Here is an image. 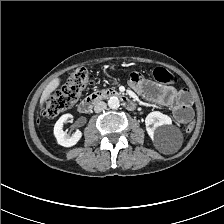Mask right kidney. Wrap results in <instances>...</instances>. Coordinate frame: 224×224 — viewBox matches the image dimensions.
I'll use <instances>...</instances> for the list:
<instances>
[{"instance_id": "1", "label": "right kidney", "mask_w": 224, "mask_h": 224, "mask_svg": "<svg viewBox=\"0 0 224 224\" xmlns=\"http://www.w3.org/2000/svg\"><path fill=\"white\" fill-rule=\"evenodd\" d=\"M70 120H73V116L71 114H64L59 118L54 126V135L57 142L59 145L64 147L74 146L82 137V132L80 130H76L72 136L66 135L63 131V124Z\"/></svg>"}]
</instances>
